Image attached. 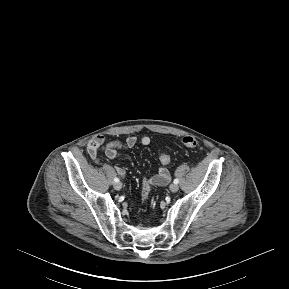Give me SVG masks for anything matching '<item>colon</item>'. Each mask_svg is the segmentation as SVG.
<instances>
[{
  "instance_id": "colon-1",
  "label": "colon",
  "mask_w": 289,
  "mask_h": 289,
  "mask_svg": "<svg viewBox=\"0 0 289 289\" xmlns=\"http://www.w3.org/2000/svg\"><path fill=\"white\" fill-rule=\"evenodd\" d=\"M182 143L184 146L188 148H195L198 146V141L192 136H184L182 138ZM159 160L162 165L166 166L170 163L171 158L167 152L162 151L159 155ZM150 193L151 188L148 186L146 182H144L142 186V197L144 201H147L149 199Z\"/></svg>"
}]
</instances>
